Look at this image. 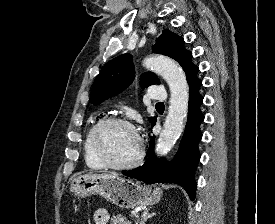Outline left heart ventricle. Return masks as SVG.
Masks as SVG:
<instances>
[{
	"label": "left heart ventricle",
	"mask_w": 275,
	"mask_h": 224,
	"mask_svg": "<svg viewBox=\"0 0 275 224\" xmlns=\"http://www.w3.org/2000/svg\"><path fill=\"white\" fill-rule=\"evenodd\" d=\"M102 144L115 163L129 162L138 152V139L135 132L124 125L109 127L103 135Z\"/></svg>",
	"instance_id": "obj_1"
}]
</instances>
